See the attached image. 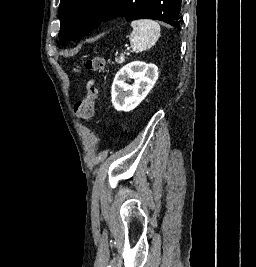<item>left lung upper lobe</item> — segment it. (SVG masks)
Returning a JSON list of instances; mask_svg holds the SVG:
<instances>
[{
    "label": "left lung upper lobe",
    "mask_w": 256,
    "mask_h": 267,
    "mask_svg": "<svg viewBox=\"0 0 256 267\" xmlns=\"http://www.w3.org/2000/svg\"><path fill=\"white\" fill-rule=\"evenodd\" d=\"M58 12L62 45L92 31L103 17L117 14L127 21L155 19L176 27L175 0H61Z\"/></svg>",
    "instance_id": "5c2ea615"
}]
</instances>
